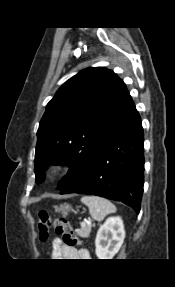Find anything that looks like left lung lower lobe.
<instances>
[{"label": "left lung lower lobe", "mask_w": 175, "mask_h": 287, "mask_svg": "<svg viewBox=\"0 0 175 287\" xmlns=\"http://www.w3.org/2000/svg\"><path fill=\"white\" fill-rule=\"evenodd\" d=\"M143 128L137 110L97 149L90 166L60 194H91L140 211L144 184Z\"/></svg>", "instance_id": "obj_1"}]
</instances>
